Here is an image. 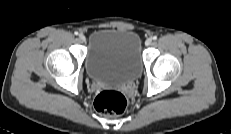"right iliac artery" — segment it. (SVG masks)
<instances>
[{"label":"right iliac artery","mask_w":231,"mask_h":134,"mask_svg":"<svg viewBox=\"0 0 231 134\" xmlns=\"http://www.w3.org/2000/svg\"><path fill=\"white\" fill-rule=\"evenodd\" d=\"M75 35H78L79 33L77 31L74 32Z\"/></svg>","instance_id":"obj_1"}]
</instances>
